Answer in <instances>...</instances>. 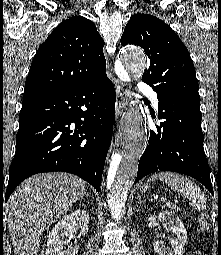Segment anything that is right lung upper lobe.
Listing matches in <instances>:
<instances>
[{
    "label": "right lung upper lobe",
    "instance_id": "right-lung-upper-lobe-1",
    "mask_svg": "<svg viewBox=\"0 0 221 255\" xmlns=\"http://www.w3.org/2000/svg\"><path fill=\"white\" fill-rule=\"evenodd\" d=\"M103 46L91 20L75 16L60 23L34 56L23 100L74 88L105 74Z\"/></svg>",
    "mask_w": 221,
    "mask_h": 255
}]
</instances>
